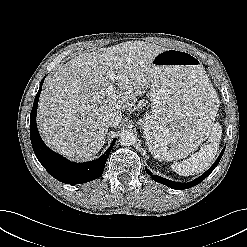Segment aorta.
<instances>
[{"instance_id": "762f6f07", "label": "aorta", "mask_w": 247, "mask_h": 247, "mask_svg": "<svg viewBox=\"0 0 247 247\" xmlns=\"http://www.w3.org/2000/svg\"><path fill=\"white\" fill-rule=\"evenodd\" d=\"M136 141V135L131 130H123L119 135V142L124 146L134 144Z\"/></svg>"}]
</instances>
